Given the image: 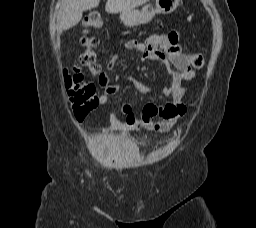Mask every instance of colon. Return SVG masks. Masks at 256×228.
Instances as JSON below:
<instances>
[{
    "instance_id": "obj_1",
    "label": "colon",
    "mask_w": 256,
    "mask_h": 228,
    "mask_svg": "<svg viewBox=\"0 0 256 228\" xmlns=\"http://www.w3.org/2000/svg\"><path fill=\"white\" fill-rule=\"evenodd\" d=\"M103 24V17L98 11H90L82 21L84 34L81 38V44L86 50L80 56V63L88 67L94 74L100 73V67L95 61L93 51L98 45V39L94 34L103 27ZM189 58L193 68L200 69L204 66L205 60L202 54H189ZM64 84L73 113L81 121L99 104L96 87L84 80L79 67L76 65L64 70Z\"/></svg>"
}]
</instances>
